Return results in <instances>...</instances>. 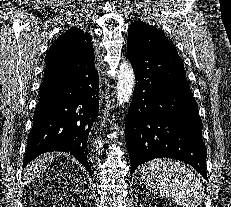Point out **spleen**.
<instances>
[{"label":"spleen","instance_id":"spleen-1","mask_svg":"<svg viewBox=\"0 0 231 207\" xmlns=\"http://www.w3.org/2000/svg\"><path fill=\"white\" fill-rule=\"evenodd\" d=\"M140 179L154 194L171 198L182 207H197L203 200V186L186 165L157 159L139 168Z\"/></svg>","mask_w":231,"mask_h":207}]
</instances>
